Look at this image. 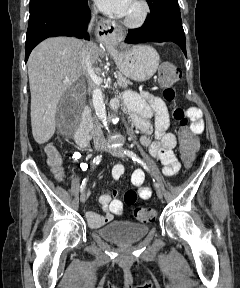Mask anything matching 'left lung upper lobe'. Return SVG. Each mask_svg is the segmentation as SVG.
<instances>
[{
    "mask_svg": "<svg viewBox=\"0 0 240 288\" xmlns=\"http://www.w3.org/2000/svg\"><path fill=\"white\" fill-rule=\"evenodd\" d=\"M155 1H157V0H147V2H148V4H149V7H150V8L154 6ZM172 1H176V2H178V0H172Z\"/></svg>",
    "mask_w": 240,
    "mask_h": 288,
    "instance_id": "left-lung-upper-lobe-1",
    "label": "left lung upper lobe"
}]
</instances>
